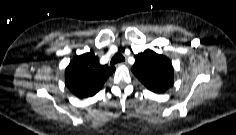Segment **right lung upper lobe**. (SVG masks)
Instances as JSON below:
<instances>
[{
    "label": "right lung upper lobe",
    "mask_w": 236,
    "mask_h": 135,
    "mask_svg": "<svg viewBox=\"0 0 236 135\" xmlns=\"http://www.w3.org/2000/svg\"><path fill=\"white\" fill-rule=\"evenodd\" d=\"M115 67L101 65L93 52L76 56L65 70L66 86L79 98L94 96L104 85Z\"/></svg>",
    "instance_id": "cb5924a9"
}]
</instances>
